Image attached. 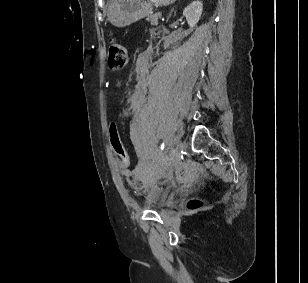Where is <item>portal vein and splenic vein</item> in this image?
<instances>
[{
    "mask_svg": "<svg viewBox=\"0 0 308 283\" xmlns=\"http://www.w3.org/2000/svg\"><path fill=\"white\" fill-rule=\"evenodd\" d=\"M158 16L161 17V13L160 12L158 13Z\"/></svg>",
    "mask_w": 308,
    "mask_h": 283,
    "instance_id": "18ae733b",
    "label": "portal vein and splenic vein"
}]
</instances>
